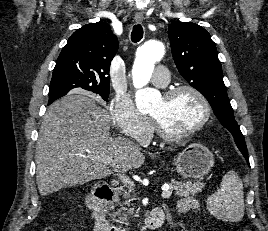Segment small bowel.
Returning <instances> with one entry per match:
<instances>
[{"label":"small bowel","instance_id":"c3829d8e","mask_svg":"<svg viewBox=\"0 0 268 231\" xmlns=\"http://www.w3.org/2000/svg\"><path fill=\"white\" fill-rule=\"evenodd\" d=\"M177 209L179 212H187L189 210H197L198 202L195 198L188 197L180 201L177 205Z\"/></svg>","mask_w":268,"mask_h":231}]
</instances>
